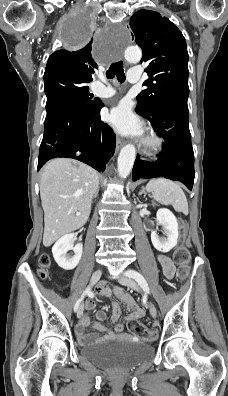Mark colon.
<instances>
[{
  "instance_id": "5ec220e1",
  "label": "colon",
  "mask_w": 228,
  "mask_h": 396,
  "mask_svg": "<svg viewBox=\"0 0 228 396\" xmlns=\"http://www.w3.org/2000/svg\"><path fill=\"white\" fill-rule=\"evenodd\" d=\"M179 244L174 252V260L179 266L180 274L182 277L187 276L189 272L190 253L185 245V225L180 222L179 225ZM50 266V258L47 254H43L39 260V275L43 278L48 275V268ZM128 329L131 333L139 336L140 338L151 341L156 337V333L152 330L147 329L143 324L137 320H130L128 323Z\"/></svg>"
}]
</instances>
